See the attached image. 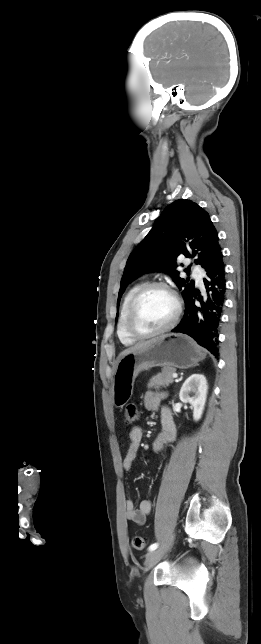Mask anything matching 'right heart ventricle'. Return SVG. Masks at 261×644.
Here are the masks:
<instances>
[{
	"label": "right heart ventricle",
	"instance_id": "right-heart-ventricle-1",
	"mask_svg": "<svg viewBox=\"0 0 261 644\" xmlns=\"http://www.w3.org/2000/svg\"><path fill=\"white\" fill-rule=\"evenodd\" d=\"M142 285H143L142 283L134 284L125 294L121 305L120 314H119L118 323H117V335L120 342L125 346H130L134 344L136 341L132 339L126 332L125 318H126L127 310L133 295Z\"/></svg>",
	"mask_w": 261,
	"mask_h": 644
}]
</instances>
